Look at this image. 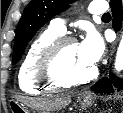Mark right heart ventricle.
<instances>
[{"label":"right heart ventricle","mask_w":123,"mask_h":113,"mask_svg":"<svg viewBox=\"0 0 123 113\" xmlns=\"http://www.w3.org/2000/svg\"><path fill=\"white\" fill-rule=\"evenodd\" d=\"M60 36L61 32L48 28L31 43L18 72L19 86L23 91L30 94H41L62 89L42 81L37 70L38 62L45 49Z\"/></svg>","instance_id":"1"}]
</instances>
